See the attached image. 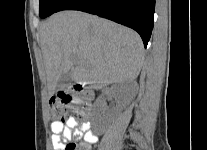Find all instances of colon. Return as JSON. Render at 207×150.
<instances>
[{
	"label": "colon",
	"mask_w": 207,
	"mask_h": 150,
	"mask_svg": "<svg viewBox=\"0 0 207 150\" xmlns=\"http://www.w3.org/2000/svg\"><path fill=\"white\" fill-rule=\"evenodd\" d=\"M69 96L64 94V97H52L49 101L51 118L54 121H66L68 113L65 105H76V100H65ZM83 112L78 113L79 118H83ZM65 150H79L75 143H69Z\"/></svg>",
	"instance_id": "1"
}]
</instances>
